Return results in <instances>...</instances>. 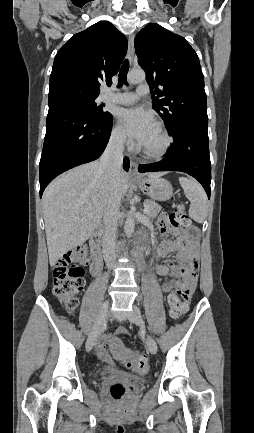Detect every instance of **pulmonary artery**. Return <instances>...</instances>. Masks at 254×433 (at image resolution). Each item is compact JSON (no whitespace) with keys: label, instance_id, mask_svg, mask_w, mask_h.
I'll return each instance as SVG.
<instances>
[{"label":"pulmonary artery","instance_id":"obj_1","mask_svg":"<svg viewBox=\"0 0 254 433\" xmlns=\"http://www.w3.org/2000/svg\"><path fill=\"white\" fill-rule=\"evenodd\" d=\"M148 93V85L142 84L137 87L136 92H125L114 95L106 93L104 99L106 101H111L117 104L132 105L138 100L139 97L147 95Z\"/></svg>","mask_w":254,"mask_h":433}]
</instances>
